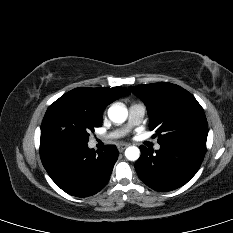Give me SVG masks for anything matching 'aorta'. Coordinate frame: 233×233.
<instances>
[{"instance_id": "obj_1", "label": "aorta", "mask_w": 233, "mask_h": 233, "mask_svg": "<svg viewBox=\"0 0 233 233\" xmlns=\"http://www.w3.org/2000/svg\"><path fill=\"white\" fill-rule=\"evenodd\" d=\"M127 116L128 110L122 104H114L108 109V117L114 123H123ZM125 156L130 161H136L140 156V150L136 146H130L125 150Z\"/></svg>"}]
</instances>
